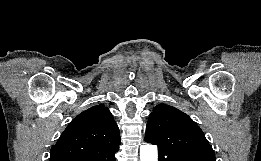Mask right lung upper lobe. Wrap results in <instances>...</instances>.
Instances as JSON below:
<instances>
[{"label":"right lung upper lobe","instance_id":"right-lung-upper-lobe-1","mask_svg":"<svg viewBox=\"0 0 261 161\" xmlns=\"http://www.w3.org/2000/svg\"><path fill=\"white\" fill-rule=\"evenodd\" d=\"M120 133L112 114L103 105L79 114L51 148L49 161H73L116 149Z\"/></svg>","mask_w":261,"mask_h":161}]
</instances>
